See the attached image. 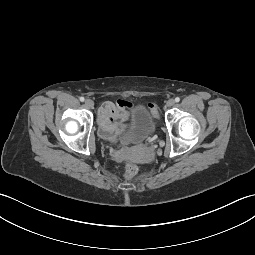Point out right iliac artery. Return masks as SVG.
Returning <instances> with one entry per match:
<instances>
[{
	"label": "right iliac artery",
	"mask_w": 255,
	"mask_h": 255,
	"mask_svg": "<svg viewBox=\"0 0 255 255\" xmlns=\"http://www.w3.org/2000/svg\"><path fill=\"white\" fill-rule=\"evenodd\" d=\"M79 99L81 102H83L85 100L84 97H80Z\"/></svg>",
	"instance_id": "1"
}]
</instances>
